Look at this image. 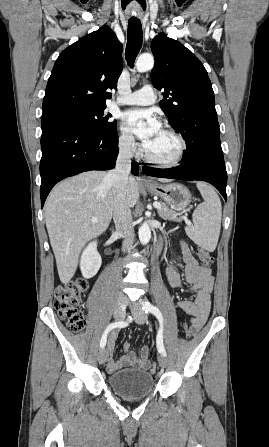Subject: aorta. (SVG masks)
Segmentation results:
<instances>
[{
  "instance_id": "1",
  "label": "aorta",
  "mask_w": 269,
  "mask_h": 447,
  "mask_svg": "<svg viewBox=\"0 0 269 447\" xmlns=\"http://www.w3.org/2000/svg\"><path fill=\"white\" fill-rule=\"evenodd\" d=\"M135 68L137 72H149V70H152V68H154V58L152 54H142V56H139ZM139 239L144 245L151 239V229L147 222H144V224L139 227Z\"/></svg>"
}]
</instances>
